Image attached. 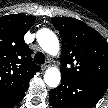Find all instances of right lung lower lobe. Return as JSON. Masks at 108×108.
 Instances as JSON below:
<instances>
[{"mask_svg":"<svg viewBox=\"0 0 108 108\" xmlns=\"http://www.w3.org/2000/svg\"><path fill=\"white\" fill-rule=\"evenodd\" d=\"M27 89H28V87H26L24 90H22L16 96L0 100V108H11V107L15 106L16 104H18L23 99V97L25 95V91Z\"/></svg>","mask_w":108,"mask_h":108,"instance_id":"1","label":"right lung lower lobe"}]
</instances>
